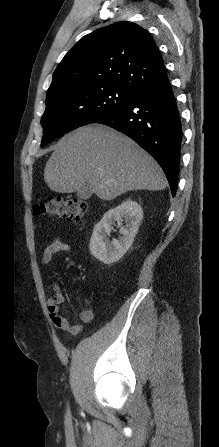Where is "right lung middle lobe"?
Returning <instances> with one entry per match:
<instances>
[{
	"label": "right lung middle lobe",
	"instance_id": "right-lung-middle-lobe-1",
	"mask_svg": "<svg viewBox=\"0 0 219 447\" xmlns=\"http://www.w3.org/2000/svg\"><path fill=\"white\" fill-rule=\"evenodd\" d=\"M135 95L114 85H102L84 92L58 90L46 96V110L41 119L43 147L57 136L128 104Z\"/></svg>",
	"mask_w": 219,
	"mask_h": 447
}]
</instances>
